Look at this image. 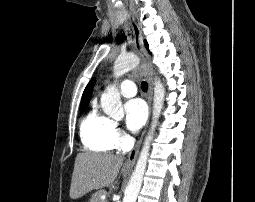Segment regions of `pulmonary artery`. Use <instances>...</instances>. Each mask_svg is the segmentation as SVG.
<instances>
[{
	"mask_svg": "<svg viewBox=\"0 0 255 202\" xmlns=\"http://www.w3.org/2000/svg\"><path fill=\"white\" fill-rule=\"evenodd\" d=\"M120 93L124 97H133L137 93L136 85L130 80H125L120 85Z\"/></svg>",
	"mask_w": 255,
	"mask_h": 202,
	"instance_id": "1",
	"label": "pulmonary artery"
}]
</instances>
